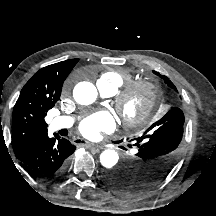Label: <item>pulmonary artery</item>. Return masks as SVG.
Instances as JSON below:
<instances>
[{
	"instance_id": "1",
	"label": "pulmonary artery",
	"mask_w": 216,
	"mask_h": 216,
	"mask_svg": "<svg viewBox=\"0 0 216 216\" xmlns=\"http://www.w3.org/2000/svg\"><path fill=\"white\" fill-rule=\"evenodd\" d=\"M97 87L103 96L113 95V91L101 81H97ZM74 119L70 116H58L51 121V127L54 130L66 129L73 125Z\"/></svg>"
}]
</instances>
